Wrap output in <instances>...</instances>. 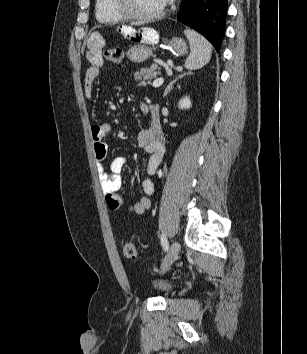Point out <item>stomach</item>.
Instances as JSON below:
<instances>
[{"instance_id":"1","label":"stomach","mask_w":307,"mask_h":354,"mask_svg":"<svg viewBox=\"0 0 307 354\" xmlns=\"http://www.w3.org/2000/svg\"><path fill=\"white\" fill-rule=\"evenodd\" d=\"M128 39L134 43L127 52L128 58L132 62L142 63L153 55L154 46L159 42V35L154 29L145 27L138 30L137 38ZM163 44L166 49L176 55H184L187 51L186 42L178 37L165 39Z\"/></svg>"}]
</instances>
